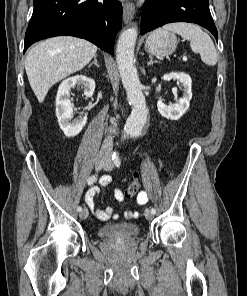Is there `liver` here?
Listing matches in <instances>:
<instances>
[{"label":"liver","mask_w":247,"mask_h":296,"mask_svg":"<svg viewBox=\"0 0 247 296\" xmlns=\"http://www.w3.org/2000/svg\"><path fill=\"white\" fill-rule=\"evenodd\" d=\"M96 51L93 43L71 36L53 37L34 46L26 56L25 70L38 101H44L55 83L85 67Z\"/></svg>","instance_id":"6515ba94"}]
</instances>
